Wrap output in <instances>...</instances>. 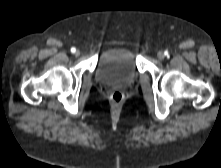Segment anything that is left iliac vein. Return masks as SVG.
<instances>
[{
  "label": "left iliac vein",
  "instance_id": "4c4485c4",
  "mask_svg": "<svg viewBox=\"0 0 221 168\" xmlns=\"http://www.w3.org/2000/svg\"><path fill=\"white\" fill-rule=\"evenodd\" d=\"M158 59L163 60L165 58V54L162 51H159L157 54Z\"/></svg>",
  "mask_w": 221,
  "mask_h": 168
}]
</instances>
